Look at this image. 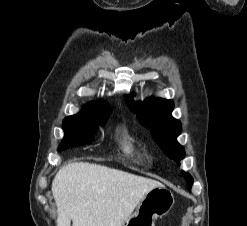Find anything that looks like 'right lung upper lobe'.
<instances>
[{"label": "right lung upper lobe", "instance_id": "cb5924a9", "mask_svg": "<svg viewBox=\"0 0 247 226\" xmlns=\"http://www.w3.org/2000/svg\"><path fill=\"white\" fill-rule=\"evenodd\" d=\"M96 108V116L106 118L109 114V106L103 101L91 102Z\"/></svg>", "mask_w": 247, "mask_h": 226}]
</instances>
